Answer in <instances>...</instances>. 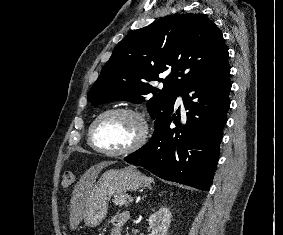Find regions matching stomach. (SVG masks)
Segmentation results:
<instances>
[{
    "mask_svg": "<svg viewBox=\"0 0 283 235\" xmlns=\"http://www.w3.org/2000/svg\"><path fill=\"white\" fill-rule=\"evenodd\" d=\"M148 184L145 176L133 166L105 171L84 198L85 224L95 227L102 222L111 197L123 195L127 191H137Z\"/></svg>",
    "mask_w": 283,
    "mask_h": 235,
    "instance_id": "0dacf381",
    "label": "stomach"
}]
</instances>
